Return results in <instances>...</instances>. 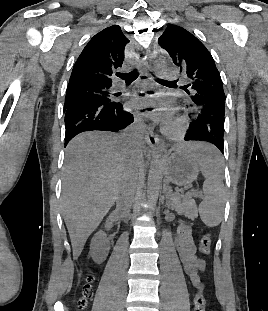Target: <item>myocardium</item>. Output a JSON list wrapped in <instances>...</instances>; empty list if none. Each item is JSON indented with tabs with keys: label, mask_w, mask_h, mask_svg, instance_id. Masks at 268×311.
I'll return each mask as SVG.
<instances>
[{
	"label": "myocardium",
	"mask_w": 268,
	"mask_h": 311,
	"mask_svg": "<svg viewBox=\"0 0 268 311\" xmlns=\"http://www.w3.org/2000/svg\"><path fill=\"white\" fill-rule=\"evenodd\" d=\"M186 119L182 116L176 118L172 123L162 127V133L172 140H180L186 132Z\"/></svg>",
	"instance_id": "1"
}]
</instances>
